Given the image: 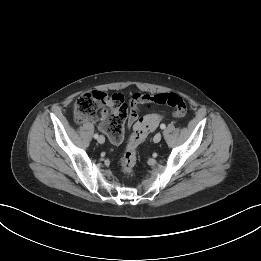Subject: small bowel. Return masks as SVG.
I'll return each mask as SVG.
<instances>
[{
	"mask_svg": "<svg viewBox=\"0 0 261 261\" xmlns=\"http://www.w3.org/2000/svg\"><path fill=\"white\" fill-rule=\"evenodd\" d=\"M119 97H122L120 94H116ZM154 102V96L150 94H141V93H135L130 101V110L129 115L127 119V126L130 128L132 127L139 118V108L141 105H148L150 103ZM124 133V132H123ZM110 138V137H109Z\"/></svg>",
	"mask_w": 261,
	"mask_h": 261,
	"instance_id": "c3829d8e",
	"label": "small bowel"
}]
</instances>
